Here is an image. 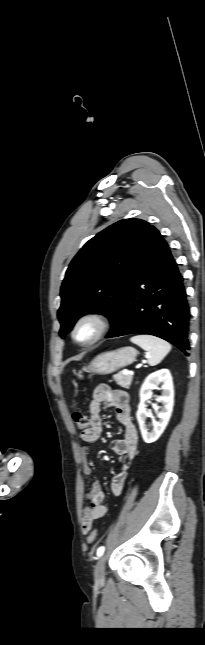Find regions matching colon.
Listing matches in <instances>:
<instances>
[{
    "instance_id": "obj_1",
    "label": "colon",
    "mask_w": 205,
    "mask_h": 645,
    "mask_svg": "<svg viewBox=\"0 0 205 645\" xmlns=\"http://www.w3.org/2000/svg\"><path fill=\"white\" fill-rule=\"evenodd\" d=\"M73 420L77 428L83 433L90 426L91 415L90 413H87V412L77 411L73 414ZM96 538H97V530L96 529L90 530L87 537L88 544L92 545L95 542Z\"/></svg>"
}]
</instances>
